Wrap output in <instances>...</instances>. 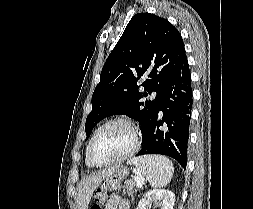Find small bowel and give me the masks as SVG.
Here are the masks:
<instances>
[{
  "label": "small bowel",
  "instance_id": "small-bowel-1",
  "mask_svg": "<svg viewBox=\"0 0 253 209\" xmlns=\"http://www.w3.org/2000/svg\"><path fill=\"white\" fill-rule=\"evenodd\" d=\"M104 209H129V204L119 196L114 195L107 201Z\"/></svg>",
  "mask_w": 253,
  "mask_h": 209
}]
</instances>
